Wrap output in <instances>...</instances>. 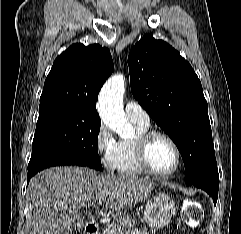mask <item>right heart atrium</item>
I'll return each mask as SVG.
<instances>
[{
    "label": "right heart atrium",
    "instance_id": "obj_1",
    "mask_svg": "<svg viewBox=\"0 0 241 234\" xmlns=\"http://www.w3.org/2000/svg\"><path fill=\"white\" fill-rule=\"evenodd\" d=\"M118 141L107 125L101 123L95 134V148L103 166L114 170L115 153Z\"/></svg>",
    "mask_w": 241,
    "mask_h": 234
}]
</instances>
